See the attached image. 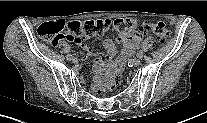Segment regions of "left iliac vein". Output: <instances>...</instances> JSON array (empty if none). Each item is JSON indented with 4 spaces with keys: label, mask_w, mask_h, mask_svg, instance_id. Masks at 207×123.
<instances>
[{
    "label": "left iliac vein",
    "mask_w": 207,
    "mask_h": 123,
    "mask_svg": "<svg viewBox=\"0 0 207 123\" xmlns=\"http://www.w3.org/2000/svg\"><path fill=\"white\" fill-rule=\"evenodd\" d=\"M140 64H141V60H140V58H136V59L133 60V65H134V66L137 67V66H139Z\"/></svg>",
    "instance_id": "1"
}]
</instances>
